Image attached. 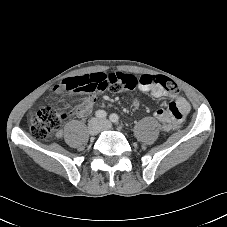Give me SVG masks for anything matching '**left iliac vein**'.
<instances>
[{"mask_svg": "<svg viewBox=\"0 0 227 227\" xmlns=\"http://www.w3.org/2000/svg\"><path fill=\"white\" fill-rule=\"evenodd\" d=\"M100 124H101V128L104 130L111 128V124L107 120H101Z\"/></svg>", "mask_w": 227, "mask_h": 227, "instance_id": "4c4485c4", "label": "left iliac vein"}]
</instances>
